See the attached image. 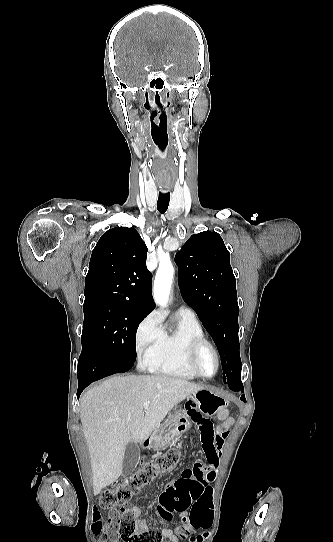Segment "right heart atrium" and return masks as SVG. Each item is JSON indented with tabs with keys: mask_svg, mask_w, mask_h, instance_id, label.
I'll use <instances>...</instances> for the list:
<instances>
[{
	"mask_svg": "<svg viewBox=\"0 0 333 542\" xmlns=\"http://www.w3.org/2000/svg\"><path fill=\"white\" fill-rule=\"evenodd\" d=\"M162 337L160 321L155 315H149L139 325L136 333L137 347L143 349L157 343Z\"/></svg>",
	"mask_w": 333,
	"mask_h": 542,
	"instance_id": "obj_1",
	"label": "right heart atrium"
}]
</instances>
